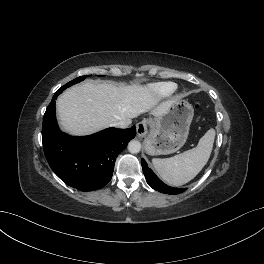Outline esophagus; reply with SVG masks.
Here are the masks:
<instances>
[{
  "label": "esophagus",
  "instance_id": "1",
  "mask_svg": "<svg viewBox=\"0 0 264 264\" xmlns=\"http://www.w3.org/2000/svg\"><path fill=\"white\" fill-rule=\"evenodd\" d=\"M149 124H150L149 119H143L141 122L137 123L136 131L138 137L143 138L146 136Z\"/></svg>",
  "mask_w": 264,
  "mask_h": 264
}]
</instances>
